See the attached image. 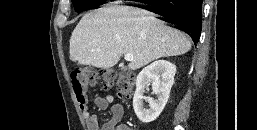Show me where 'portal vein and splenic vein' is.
<instances>
[{"label": "portal vein and splenic vein", "mask_w": 257, "mask_h": 130, "mask_svg": "<svg viewBox=\"0 0 257 130\" xmlns=\"http://www.w3.org/2000/svg\"><path fill=\"white\" fill-rule=\"evenodd\" d=\"M125 60L126 61H132L133 60V55H131V54H125Z\"/></svg>", "instance_id": "1"}]
</instances>
